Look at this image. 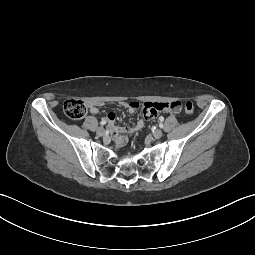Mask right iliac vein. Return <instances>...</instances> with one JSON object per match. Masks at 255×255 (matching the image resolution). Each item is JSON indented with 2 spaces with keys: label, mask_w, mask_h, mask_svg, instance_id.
Instances as JSON below:
<instances>
[{
  "label": "right iliac vein",
  "mask_w": 255,
  "mask_h": 255,
  "mask_svg": "<svg viewBox=\"0 0 255 255\" xmlns=\"http://www.w3.org/2000/svg\"><path fill=\"white\" fill-rule=\"evenodd\" d=\"M105 133V129L103 127H99L97 129V134L100 135V136H103Z\"/></svg>",
  "instance_id": "right-iliac-vein-1"
}]
</instances>
